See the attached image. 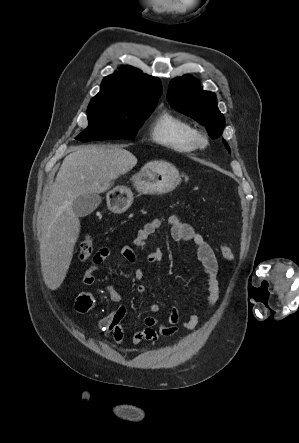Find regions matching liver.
<instances>
[{
	"label": "liver",
	"instance_id": "obj_1",
	"mask_svg": "<svg viewBox=\"0 0 299 443\" xmlns=\"http://www.w3.org/2000/svg\"><path fill=\"white\" fill-rule=\"evenodd\" d=\"M137 158L121 146H85L65 157L42 215L40 260L51 290L63 283L80 233L73 201L87 193L107 191L112 180L130 171Z\"/></svg>",
	"mask_w": 299,
	"mask_h": 443
}]
</instances>
